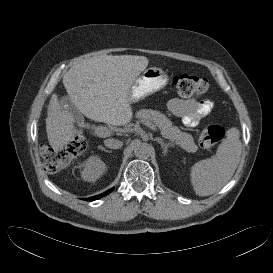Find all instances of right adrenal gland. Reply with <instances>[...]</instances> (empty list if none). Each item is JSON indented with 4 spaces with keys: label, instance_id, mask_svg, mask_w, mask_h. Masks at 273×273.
Wrapping results in <instances>:
<instances>
[{
    "label": "right adrenal gland",
    "instance_id": "2a0ac1e0",
    "mask_svg": "<svg viewBox=\"0 0 273 273\" xmlns=\"http://www.w3.org/2000/svg\"><path fill=\"white\" fill-rule=\"evenodd\" d=\"M99 149H101L102 151H105V152H107V153L112 152V151H110V150L105 149L103 146H99Z\"/></svg>",
    "mask_w": 273,
    "mask_h": 273
}]
</instances>
